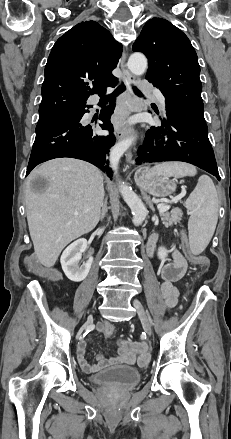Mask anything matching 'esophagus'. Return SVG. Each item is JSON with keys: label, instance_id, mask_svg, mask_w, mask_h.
I'll list each match as a JSON object with an SVG mask.
<instances>
[{"label": "esophagus", "instance_id": "34e87169", "mask_svg": "<svg viewBox=\"0 0 231 439\" xmlns=\"http://www.w3.org/2000/svg\"><path fill=\"white\" fill-rule=\"evenodd\" d=\"M121 69L125 78V83L127 85L128 91L132 94L133 93V86L136 85V79L131 74V72L128 70L126 66V53H123L121 58ZM133 129L127 126H124L123 124H116L115 125V134L118 140H121L122 138H125L129 136L132 133ZM132 159V152L129 151L126 154V161L129 163Z\"/></svg>", "mask_w": 231, "mask_h": 439}]
</instances>
